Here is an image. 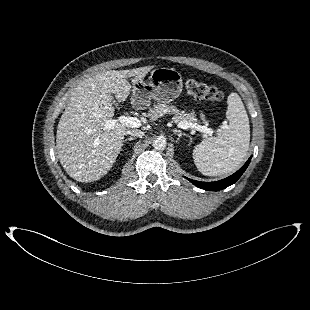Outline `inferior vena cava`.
I'll use <instances>...</instances> for the list:
<instances>
[{
  "label": "inferior vena cava",
  "instance_id": "inferior-vena-cava-1",
  "mask_svg": "<svg viewBox=\"0 0 310 310\" xmlns=\"http://www.w3.org/2000/svg\"><path fill=\"white\" fill-rule=\"evenodd\" d=\"M126 134L131 135V136H137L140 138L144 136V132H142L141 130H137V129H129L126 131Z\"/></svg>",
  "mask_w": 310,
  "mask_h": 310
}]
</instances>
